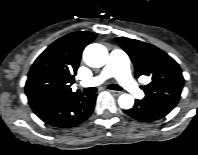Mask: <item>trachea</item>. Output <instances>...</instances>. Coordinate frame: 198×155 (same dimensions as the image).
<instances>
[{
  "label": "trachea",
  "mask_w": 198,
  "mask_h": 155,
  "mask_svg": "<svg viewBox=\"0 0 198 155\" xmlns=\"http://www.w3.org/2000/svg\"><path fill=\"white\" fill-rule=\"evenodd\" d=\"M108 88H109V89H112V90H116V91H121V90H123V88H122L121 86L116 85V84H110V85L108 86ZM83 91H84V93H85L86 95H90V94L96 93L97 88H95V87L85 88Z\"/></svg>",
  "instance_id": "trachea-1"
}]
</instances>
